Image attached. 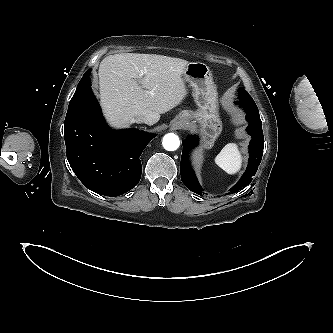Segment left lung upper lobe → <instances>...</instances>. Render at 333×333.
Wrapping results in <instances>:
<instances>
[{
  "mask_svg": "<svg viewBox=\"0 0 333 333\" xmlns=\"http://www.w3.org/2000/svg\"><path fill=\"white\" fill-rule=\"evenodd\" d=\"M238 93H239V97H244V98L251 97L244 88H239Z\"/></svg>",
  "mask_w": 333,
  "mask_h": 333,
  "instance_id": "left-lung-upper-lobe-1",
  "label": "left lung upper lobe"
}]
</instances>
